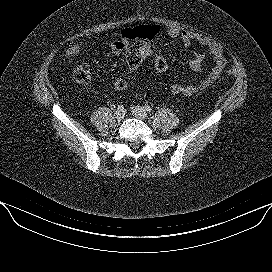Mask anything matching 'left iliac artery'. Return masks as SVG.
I'll return each mask as SVG.
<instances>
[{
	"label": "left iliac artery",
	"mask_w": 272,
	"mask_h": 272,
	"mask_svg": "<svg viewBox=\"0 0 272 272\" xmlns=\"http://www.w3.org/2000/svg\"><path fill=\"white\" fill-rule=\"evenodd\" d=\"M144 109H145L147 112H151V111H152V108H151L149 105H145V106H144Z\"/></svg>",
	"instance_id": "obj_1"
}]
</instances>
